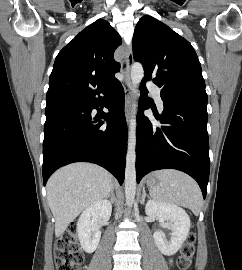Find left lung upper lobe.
<instances>
[{
	"instance_id": "obj_1",
	"label": "left lung upper lobe",
	"mask_w": 242,
	"mask_h": 270,
	"mask_svg": "<svg viewBox=\"0 0 242 270\" xmlns=\"http://www.w3.org/2000/svg\"><path fill=\"white\" fill-rule=\"evenodd\" d=\"M133 57L143 64V80L161 88V98L171 102L207 103L201 65L191 44L167 25L143 16L132 40Z\"/></svg>"
}]
</instances>
